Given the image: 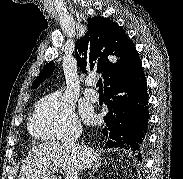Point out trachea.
Masks as SVG:
<instances>
[{
    "label": "trachea",
    "instance_id": "1",
    "mask_svg": "<svg viewBox=\"0 0 183 179\" xmlns=\"http://www.w3.org/2000/svg\"><path fill=\"white\" fill-rule=\"evenodd\" d=\"M96 86L99 88V91H103V85H102V80L99 79Z\"/></svg>",
    "mask_w": 183,
    "mask_h": 179
}]
</instances>
